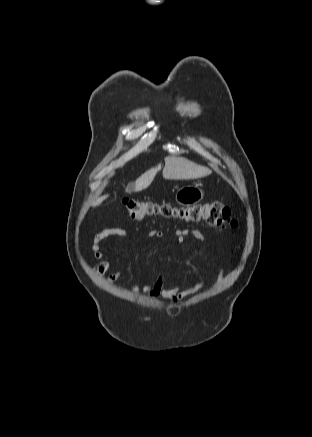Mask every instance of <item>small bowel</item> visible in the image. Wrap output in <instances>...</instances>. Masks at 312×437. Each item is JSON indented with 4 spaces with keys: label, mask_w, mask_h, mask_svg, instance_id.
<instances>
[{
    "label": "small bowel",
    "mask_w": 312,
    "mask_h": 437,
    "mask_svg": "<svg viewBox=\"0 0 312 437\" xmlns=\"http://www.w3.org/2000/svg\"><path fill=\"white\" fill-rule=\"evenodd\" d=\"M152 238H160L163 233L159 230H152L148 234ZM177 240L182 243L187 237H193L204 247H208V243L204 234L198 230H177L175 232ZM111 236L126 237L127 232L119 228H109L97 233L92 243V250L94 257L98 262L94 265V270L99 276H103L110 268L111 263L108 260V255L102 247V241ZM120 277V271L113 272L108 277L109 284H114ZM224 277V271L222 270L218 276V282H221ZM204 284V281L198 282L196 285L190 288H181L178 286H167L164 278L159 276L157 280L150 285L135 286L133 288L135 293L144 292L147 293L152 299L163 298L165 300L176 303L182 300L188 293L199 289Z\"/></svg>",
    "instance_id": "obj_1"
}]
</instances>
